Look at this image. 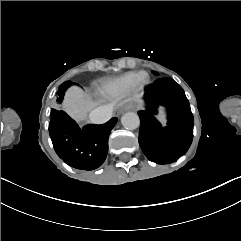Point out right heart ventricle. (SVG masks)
Segmentation results:
<instances>
[{
  "instance_id": "right-heart-ventricle-1",
  "label": "right heart ventricle",
  "mask_w": 241,
  "mask_h": 241,
  "mask_svg": "<svg viewBox=\"0 0 241 241\" xmlns=\"http://www.w3.org/2000/svg\"><path fill=\"white\" fill-rule=\"evenodd\" d=\"M130 82V77L126 76L114 82V84L127 85Z\"/></svg>"
}]
</instances>
